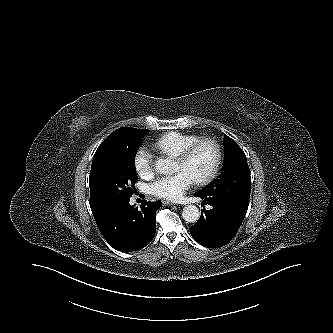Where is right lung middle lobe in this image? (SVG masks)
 I'll list each match as a JSON object with an SVG mask.
<instances>
[{
  "label": "right lung middle lobe",
  "instance_id": "right-lung-middle-lobe-1",
  "mask_svg": "<svg viewBox=\"0 0 333 333\" xmlns=\"http://www.w3.org/2000/svg\"><path fill=\"white\" fill-rule=\"evenodd\" d=\"M148 131L140 129L132 132L102 148L94 156L89 185L104 206L132 196L134 183L138 179L135 155Z\"/></svg>",
  "mask_w": 333,
  "mask_h": 333
}]
</instances>
